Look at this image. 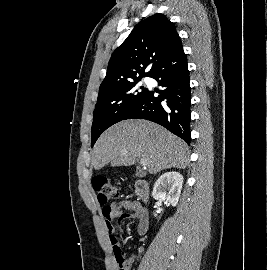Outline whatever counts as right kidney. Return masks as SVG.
Listing matches in <instances>:
<instances>
[{
    "label": "right kidney",
    "instance_id": "1",
    "mask_svg": "<svg viewBox=\"0 0 267 270\" xmlns=\"http://www.w3.org/2000/svg\"><path fill=\"white\" fill-rule=\"evenodd\" d=\"M183 185V176L176 172H166L156 181L152 196L161 203L163 200L169 202L172 206H176L179 201L181 189ZM156 217L157 214L154 213Z\"/></svg>",
    "mask_w": 267,
    "mask_h": 270
}]
</instances>
